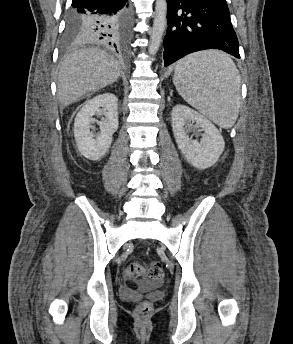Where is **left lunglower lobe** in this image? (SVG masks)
<instances>
[{
	"mask_svg": "<svg viewBox=\"0 0 293 344\" xmlns=\"http://www.w3.org/2000/svg\"><path fill=\"white\" fill-rule=\"evenodd\" d=\"M167 4L165 66L205 49H220L240 58L226 0H167Z\"/></svg>",
	"mask_w": 293,
	"mask_h": 344,
	"instance_id": "left-lung-lower-lobe-1",
	"label": "left lung lower lobe"
}]
</instances>
